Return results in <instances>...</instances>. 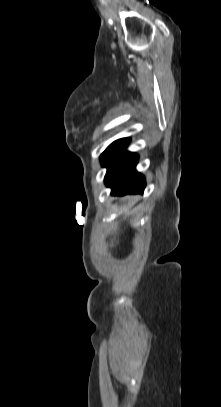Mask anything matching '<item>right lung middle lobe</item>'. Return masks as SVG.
<instances>
[{"label": "right lung middle lobe", "instance_id": "right-lung-middle-lobe-1", "mask_svg": "<svg viewBox=\"0 0 221 407\" xmlns=\"http://www.w3.org/2000/svg\"><path fill=\"white\" fill-rule=\"evenodd\" d=\"M129 138L119 139L113 142L101 155L102 166H108L112 160L123 150Z\"/></svg>", "mask_w": 221, "mask_h": 407}]
</instances>
